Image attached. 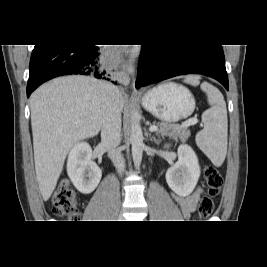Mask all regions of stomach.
<instances>
[{"label":"stomach","mask_w":267,"mask_h":267,"mask_svg":"<svg viewBox=\"0 0 267 267\" xmlns=\"http://www.w3.org/2000/svg\"><path fill=\"white\" fill-rule=\"evenodd\" d=\"M142 106L159 120L172 123L189 117L195 109V99L184 86L164 83L142 97Z\"/></svg>","instance_id":"0dacf381"}]
</instances>
